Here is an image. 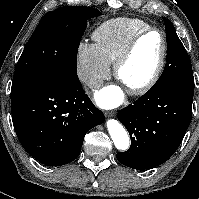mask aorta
I'll return each mask as SVG.
<instances>
[{
	"label": "aorta",
	"mask_w": 199,
	"mask_h": 199,
	"mask_svg": "<svg viewBox=\"0 0 199 199\" xmlns=\"http://www.w3.org/2000/svg\"><path fill=\"white\" fill-rule=\"evenodd\" d=\"M107 128L115 147L120 151H126L130 146V139L125 128L114 119L107 121Z\"/></svg>",
	"instance_id": "aorta-1"
}]
</instances>
